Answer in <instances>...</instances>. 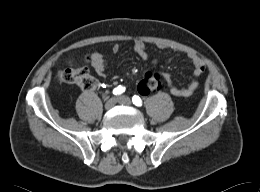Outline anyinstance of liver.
Masks as SVG:
<instances>
[{
	"instance_id": "6515ba94",
	"label": "liver",
	"mask_w": 260,
	"mask_h": 192,
	"mask_svg": "<svg viewBox=\"0 0 260 192\" xmlns=\"http://www.w3.org/2000/svg\"><path fill=\"white\" fill-rule=\"evenodd\" d=\"M58 75H59L60 79H62V73L58 72Z\"/></svg>"
}]
</instances>
